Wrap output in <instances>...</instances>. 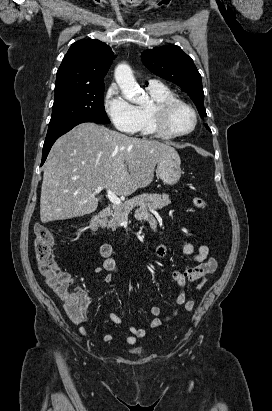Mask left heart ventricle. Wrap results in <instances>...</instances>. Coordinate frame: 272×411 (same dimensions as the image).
<instances>
[{
    "mask_svg": "<svg viewBox=\"0 0 272 411\" xmlns=\"http://www.w3.org/2000/svg\"><path fill=\"white\" fill-rule=\"evenodd\" d=\"M192 114L184 107L175 108L169 118V127L176 132L185 131L192 125Z\"/></svg>",
    "mask_w": 272,
    "mask_h": 411,
    "instance_id": "left-heart-ventricle-1",
    "label": "left heart ventricle"
}]
</instances>
